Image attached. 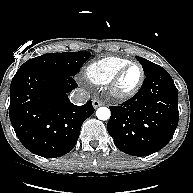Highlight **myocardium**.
Masks as SVG:
<instances>
[{
	"mask_svg": "<svg viewBox=\"0 0 193 193\" xmlns=\"http://www.w3.org/2000/svg\"><path fill=\"white\" fill-rule=\"evenodd\" d=\"M133 66H137L140 69L141 76L138 81V83L130 90L123 91L120 89V80L124 73ZM145 81V70L143 66L138 62H129L123 67H121L112 77V79L109 82V91L110 94L118 99V100H126L131 97H133L135 94L138 93V91L141 89L143 83Z\"/></svg>",
	"mask_w": 193,
	"mask_h": 193,
	"instance_id": "obj_1",
	"label": "myocardium"
}]
</instances>
